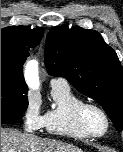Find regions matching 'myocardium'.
<instances>
[{
  "mask_svg": "<svg viewBox=\"0 0 123 152\" xmlns=\"http://www.w3.org/2000/svg\"><path fill=\"white\" fill-rule=\"evenodd\" d=\"M88 109H94L103 116L106 123V127L102 133H98V134L93 133L85 125L84 115ZM74 121H75L76 126L82 133H84L87 137H92V138H99V137L104 136L110 128V118L108 114L106 113V111L101 106L95 103H90V102H82L75 107Z\"/></svg>",
  "mask_w": 123,
  "mask_h": 152,
  "instance_id": "f54148a6",
  "label": "myocardium"
}]
</instances>
